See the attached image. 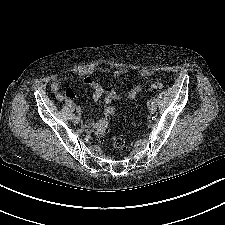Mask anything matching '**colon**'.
<instances>
[{
  "label": "colon",
  "instance_id": "colon-1",
  "mask_svg": "<svg viewBox=\"0 0 225 225\" xmlns=\"http://www.w3.org/2000/svg\"><path fill=\"white\" fill-rule=\"evenodd\" d=\"M150 89L153 92H158L163 89V84L155 82L151 85ZM115 114V108L111 105L105 107L101 119L95 124L93 128L94 135L101 139L106 140L110 151L114 154H121L125 150V144L120 137L108 138L109 126L108 121L111 116Z\"/></svg>",
  "mask_w": 225,
  "mask_h": 225
}]
</instances>
